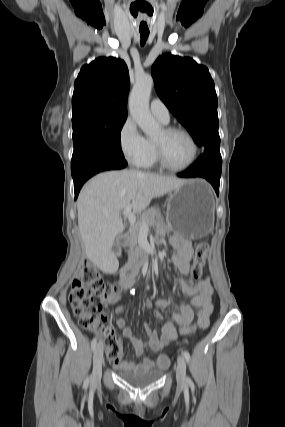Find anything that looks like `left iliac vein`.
I'll use <instances>...</instances> for the list:
<instances>
[{"mask_svg": "<svg viewBox=\"0 0 285 427\" xmlns=\"http://www.w3.org/2000/svg\"><path fill=\"white\" fill-rule=\"evenodd\" d=\"M176 379L179 387L184 388L186 386V363L181 355L177 361Z\"/></svg>", "mask_w": 285, "mask_h": 427, "instance_id": "obj_1", "label": "left iliac vein"}]
</instances>
